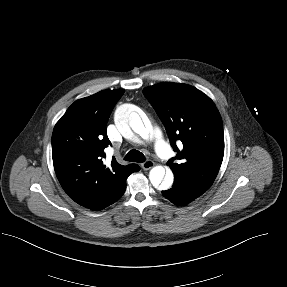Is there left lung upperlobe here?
Instances as JSON below:
<instances>
[{"label": "left lung upper lobe", "instance_id": "obj_1", "mask_svg": "<svg viewBox=\"0 0 287 287\" xmlns=\"http://www.w3.org/2000/svg\"><path fill=\"white\" fill-rule=\"evenodd\" d=\"M143 93L177 152L167 163L175 179L204 193L214 182L224 155L223 124L215 104L195 87L180 83H159ZM177 140L182 149L176 146Z\"/></svg>", "mask_w": 287, "mask_h": 287}]
</instances>
